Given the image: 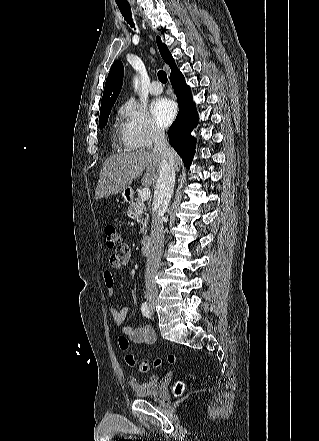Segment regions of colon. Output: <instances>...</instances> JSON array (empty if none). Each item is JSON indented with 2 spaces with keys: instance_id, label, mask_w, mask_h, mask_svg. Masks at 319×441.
Wrapping results in <instances>:
<instances>
[{
  "instance_id": "obj_1",
  "label": "colon",
  "mask_w": 319,
  "mask_h": 441,
  "mask_svg": "<svg viewBox=\"0 0 319 441\" xmlns=\"http://www.w3.org/2000/svg\"><path fill=\"white\" fill-rule=\"evenodd\" d=\"M104 233H105V242L107 247L114 248L115 246H118L121 243V235L114 225L112 224L106 225L104 229ZM118 345L122 351H126L129 348V340L124 335H120L118 338ZM179 360L180 358L177 355L170 354L165 358H156L152 361L143 360L139 362L134 357V355L132 354L125 355V361L127 365L142 373H146L153 368H157L161 366L164 362L168 364H174L177 363ZM174 390H175V394L180 395L183 391V387L181 385H177L175 386Z\"/></svg>"
}]
</instances>
